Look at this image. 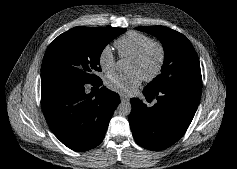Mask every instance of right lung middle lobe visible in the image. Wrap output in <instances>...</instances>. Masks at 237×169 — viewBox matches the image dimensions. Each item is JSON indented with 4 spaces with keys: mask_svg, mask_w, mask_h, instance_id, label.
I'll list each match as a JSON object with an SVG mask.
<instances>
[{
    "mask_svg": "<svg viewBox=\"0 0 237 169\" xmlns=\"http://www.w3.org/2000/svg\"><path fill=\"white\" fill-rule=\"evenodd\" d=\"M126 31L115 27H75L59 35L48 47L41 67V79L61 78L95 83L105 46Z\"/></svg>",
    "mask_w": 237,
    "mask_h": 169,
    "instance_id": "right-lung-middle-lobe-1",
    "label": "right lung middle lobe"
}]
</instances>
